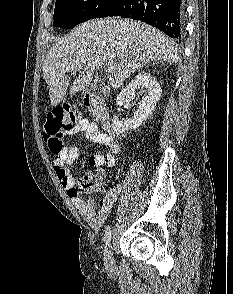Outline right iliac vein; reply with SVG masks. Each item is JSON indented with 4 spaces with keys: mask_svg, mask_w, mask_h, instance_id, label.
<instances>
[{
    "mask_svg": "<svg viewBox=\"0 0 233 294\" xmlns=\"http://www.w3.org/2000/svg\"><path fill=\"white\" fill-rule=\"evenodd\" d=\"M104 265L107 270H112L114 268V261H113V252L112 246L109 243L104 251Z\"/></svg>",
    "mask_w": 233,
    "mask_h": 294,
    "instance_id": "63e3f726",
    "label": "right iliac vein"
}]
</instances>
